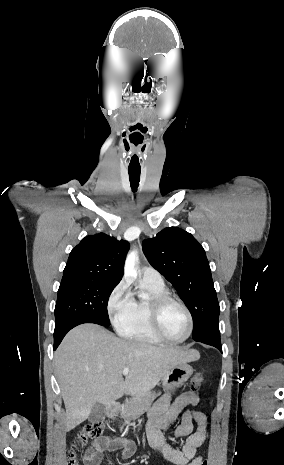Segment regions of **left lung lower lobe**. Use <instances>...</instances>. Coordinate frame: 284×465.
Returning a JSON list of instances; mask_svg holds the SVG:
<instances>
[{
  "instance_id": "0a47b994",
  "label": "left lung lower lobe",
  "mask_w": 284,
  "mask_h": 465,
  "mask_svg": "<svg viewBox=\"0 0 284 465\" xmlns=\"http://www.w3.org/2000/svg\"><path fill=\"white\" fill-rule=\"evenodd\" d=\"M195 341L212 345L222 352L219 329H211L194 338Z\"/></svg>"
}]
</instances>
